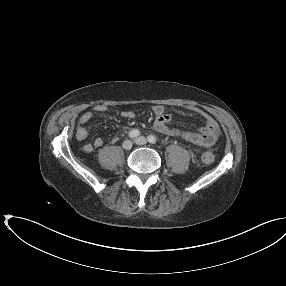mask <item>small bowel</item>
Returning a JSON list of instances; mask_svg holds the SVG:
<instances>
[{"instance_id":"small-bowel-1","label":"small bowel","mask_w":286,"mask_h":286,"mask_svg":"<svg viewBox=\"0 0 286 286\" xmlns=\"http://www.w3.org/2000/svg\"><path fill=\"white\" fill-rule=\"evenodd\" d=\"M192 111L198 113L204 118V125L197 131H187L179 128L173 127V118L171 115L167 114L163 105L156 104L152 107V111L155 115V120L153 123L154 129L164 135L180 137L190 143H193L202 148H209L215 144L217 141L220 128L218 123L205 111L197 107H191ZM94 111L97 113H103L106 111L104 105H96ZM121 116L126 119L134 118V113L130 110H124L121 112ZM93 112L85 111L83 112L77 121L75 128V137L77 140H85L88 136V130L86 125L92 120ZM104 141L102 138L97 137L92 143H86L82 146V150L85 153H90L95 149L102 147Z\"/></svg>"}]
</instances>
